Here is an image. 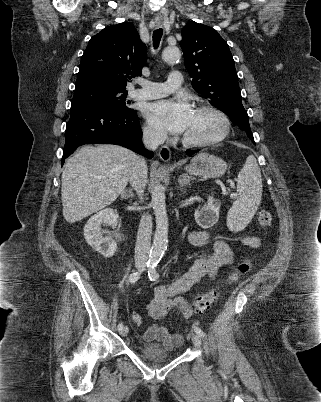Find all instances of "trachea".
Listing matches in <instances>:
<instances>
[{"label": "trachea", "mask_w": 321, "mask_h": 402, "mask_svg": "<svg viewBox=\"0 0 321 402\" xmlns=\"http://www.w3.org/2000/svg\"><path fill=\"white\" fill-rule=\"evenodd\" d=\"M162 35H163V29L162 28L156 29L153 32L152 38H153V47H154V49L158 48V46L160 44V41H161V38H162Z\"/></svg>", "instance_id": "trachea-1"}]
</instances>
